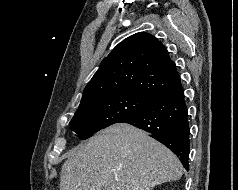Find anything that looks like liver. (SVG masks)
<instances>
[{"label": "liver", "instance_id": "6515ba94", "mask_svg": "<svg viewBox=\"0 0 238 190\" xmlns=\"http://www.w3.org/2000/svg\"><path fill=\"white\" fill-rule=\"evenodd\" d=\"M183 174L182 164L146 132L117 123L72 150L60 190H152Z\"/></svg>", "mask_w": 238, "mask_h": 190}]
</instances>
